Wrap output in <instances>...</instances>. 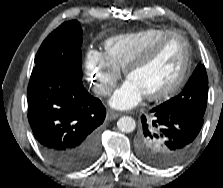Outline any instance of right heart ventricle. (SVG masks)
Wrapping results in <instances>:
<instances>
[{
    "label": "right heart ventricle",
    "instance_id": "1",
    "mask_svg": "<svg viewBox=\"0 0 223 188\" xmlns=\"http://www.w3.org/2000/svg\"><path fill=\"white\" fill-rule=\"evenodd\" d=\"M168 31L164 28L150 27L115 35L105 41V54L118 68H125L143 48Z\"/></svg>",
    "mask_w": 223,
    "mask_h": 188
}]
</instances>
